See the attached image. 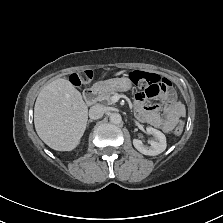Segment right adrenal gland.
<instances>
[{"instance_id": "1", "label": "right adrenal gland", "mask_w": 223, "mask_h": 223, "mask_svg": "<svg viewBox=\"0 0 223 223\" xmlns=\"http://www.w3.org/2000/svg\"><path fill=\"white\" fill-rule=\"evenodd\" d=\"M92 121H93L92 119L89 120V122H92Z\"/></svg>"}]
</instances>
